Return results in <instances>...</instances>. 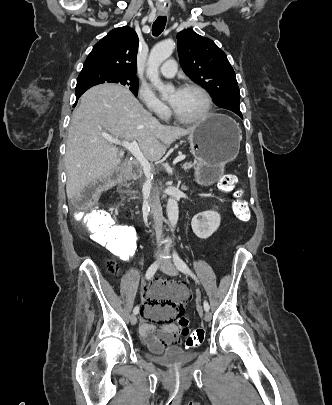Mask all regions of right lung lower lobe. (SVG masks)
<instances>
[{
	"label": "right lung lower lobe",
	"mask_w": 332,
	"mask_h": 405,
	"mask_svg": "<svg viewBox=\"0 0 332 405\" xmlns=\"http://www.w3.org/2000/svg\"><path fill=\"white\" fill-rule=\"evenodd\" d=\"M84 92H81V93H76V98L78 99L82 94H83ZM76 103H77V100H76V102H75V104H74V106L76 105Z\"/></svg>",
	"instance_id": "right-lung-lower-lobe-1"
}]
</instances>
